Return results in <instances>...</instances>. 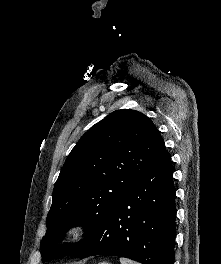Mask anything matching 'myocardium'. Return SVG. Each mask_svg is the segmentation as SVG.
<instances>
[{
    "mask_svg": "<svg viewBox=\"0 0 221 264\" xmlns=\"http://www.w3.org/2000/svg\"><path fill=\"white\" fill-rule=\"evenodd\" d=\"M88 234L87 226L82 222L70 224L64 233L66 242L74 244L82 241Z\"/></svg>",
    "mask_w": 221,
    "mask_h": 264,
    "instance_id": "myocardium-1",
    "label": "myocardium"
}]
</instances>
